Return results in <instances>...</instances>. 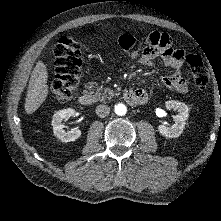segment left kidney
Instances as JSON below:
<instances>
[{
	"label": "left kidney",
	"mask_w": 221,
	"mask_h": 221,
	"mask_svg": "<svg viewBox=\"0 0 221 221\" xmlns=\"http://www.w3.org/2000/svg\"><path fill=\"white\" fill-rule=\"evenodd\" d=\"M165 107L167 110H177L178 114L174 117L175 123L171 127L159 125V133L167 138L179 137L182 134L185 122L188 119L189 108L186 104L175 100L165 102Z\"/></svg>",
	"instance_id": "1"
}]
</instances>
